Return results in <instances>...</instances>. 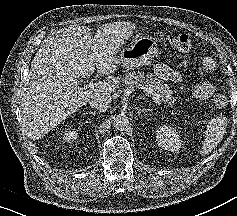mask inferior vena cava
Listing matches in <instances>:
<instances>
[{
  "label": "inferior vena cava",
  "mask_w": 237,
  "mask_h": 216,
  "mask_svg": "<svg viewBox=\"0 0 237 216\" xmlns=\"http://www.w3.org/2000/svg\"><path fill=\"white\" fill-rule=\"evenodd\" d=\"M90 107L97 109L100 112H106L110 108V95L104 92H94V94L87 101Z\"/></svg>",
  "instance_id": "1"
}]
</instances>
